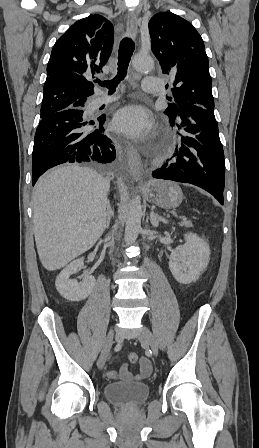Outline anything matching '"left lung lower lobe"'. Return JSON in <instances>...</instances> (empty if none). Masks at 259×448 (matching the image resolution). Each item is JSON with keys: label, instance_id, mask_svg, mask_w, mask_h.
<instances>
[{"label": "left lung lower lobe", "instance_id": "left-lung-lower-lobe-1", "mask_svg": "<svg viewBox=\"0 0 259 448\" xmlns=\"http://www.w3.org/2000/svg\"><path fill=\"white\" fill-rule=\"evenodd\" d=\"M170 123L184 135L177 132L181 142L173 154L175 161L156 169L153 177L196 185L223 204L224 151L214 110L191 106L170 118Z\"/></svg>", "mask_w": 259, "mask_h": 448}]
</instances>
